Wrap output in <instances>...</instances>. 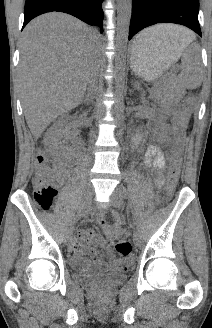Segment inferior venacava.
<instances>
[{
  "label": "inferior vena cava",
  "instance_id": "inferior-vena-cava-1",
  "mask_svg": "<svg viewBox=\"0 0 212 328\" xmlns=\"http://www.w3.org/2000/svg\"><path fill=\"white\" fill-rule=\"evenodd\" d=\"M96 33V32H95ZM95 89V78L93 77V75L91 76V79L89 80V83H88V100L89 98L91 97L93 91Z\"/></svg>",
  "mask_w": 212,
  "mask_h": 328
}]
</instances>
